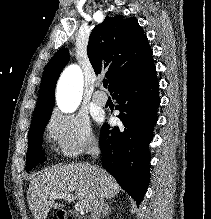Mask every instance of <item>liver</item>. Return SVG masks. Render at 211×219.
I'll return each mask as SVG.
<instances>
[{"label": "liver", "mask_w": 211, "mask_h": 219, "mask_svg": "<svg viewBox=\"0 0 211 219\" xmlns=\"http://www.w3.org/2000/svg\"><path fill=\"white\" fill-rule=\"evenodd\" d=\"M75 192L80 205L91 211L97 194L106 199L114 198L120 192L116 180L104 169L86 163H72L54 166L34 177L28 189V204L35 219H46L51 208H62L53 199L54 193L70 194Z\"/></svg>", "instance_id": "liver-1"}]
</instances>
